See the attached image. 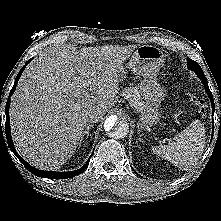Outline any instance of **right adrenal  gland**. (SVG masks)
Masks as SVG:
<instances>
[{
	"label": "right adrenal gland",
	"instance_id": "2a0ac1e0",
	"mask_svg": "<svg viewBox=\"0 0 221 221\" xmlns=\"http://www.w3.org/2000/svg\"><path fill=\"white\" fill-rule=\"evenodd\" d=\"M91 127H93V124H88V125L86 126V129H85L84 132H83L81 141L83 140L84 136H86L85 138L88 139V137H89V129H90Z\"/></svg>",
	"mask_w": 221,
	"mask_h": 221
}]
</instances>
